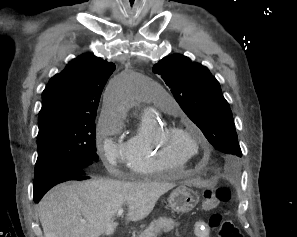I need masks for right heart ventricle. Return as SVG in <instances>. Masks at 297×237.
<instances>
[{
  "mask_svg": "<svg viewBox=\"0 0 297 237\" xmlns=\"http://www.w3.org/2000/svg\"><path fill=\"white\" fill-rule=\"evenodd\" d=\"M167 113L172 111L162 108ZM167 123L156 114H141L137 131L126 143V162L131 172L139 176L166 175L183 168L186 161L166 154L158 144L160 131Z\"/></svg>",
  "mask_w": 297,
  "mask_h": 237,
  "instance_id": "obj_1",
  "label": "right heart ventricle"
}]
</instances>
